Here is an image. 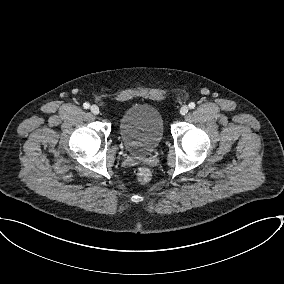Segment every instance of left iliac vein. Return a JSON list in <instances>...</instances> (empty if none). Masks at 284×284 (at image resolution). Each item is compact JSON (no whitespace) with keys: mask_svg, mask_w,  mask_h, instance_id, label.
Returning a JSON list of instances; mask_svg holds the SVG:
<instances>
[{"mask_svg":"<svg viewBox=\"0 0 284 284\" xmlns=\"http://www.w3.org/2000/svg\"><path fill=\"white\" fill-rule=\"evenodd\" d=\"M188 111H189V108H188V106H186V105H184V106H182V107L180 108V114H181V115L187 114Z\"/></svg>","mask_w":284,"mask_h":284,"instance_id":"obj_1","label":"left iliac vein"}]
</instances>
